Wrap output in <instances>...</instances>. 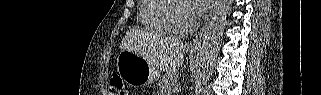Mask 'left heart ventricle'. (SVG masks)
I'll return each mask as SVG.
<instances>
[{"instance_id": "left-heart-ventricle-1", "label": "left heart ventricle", "mask_w": 321, "mask_h": 95, "mask_svg": "<svg viewBox=\"0 0 321 95\" xmlns=\"http://www.w3.org/2000/svg\"><path fill=\"white\" fill-rule=\"evenodd\" d=\"M175 17L177 22L181 26H189L194 19L193 16L188 12L187 8L183 5H180L177 7L176 12H175Z\"/></svg>"}]
</instances>
